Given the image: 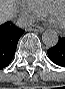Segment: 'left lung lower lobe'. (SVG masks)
I'll use <instances>...</instances> for the list:
<instances>
[{
    "label": "left lung lower lobe",
    "mask_w": 65,
    "mask_h": 89,
    "mask_svg": "<svg viewBox=\"0 0 65 89\" xmlns=\"http://www.w3.org/2000/svg\"><path fill=\"white\" fill-rule=\"evenodd\" d=\"M47 53L52 62L65 67V37H60L57 45L47 50Z\"/></svg>",
    "instance_id": "obj_1"
}]
</instances>
